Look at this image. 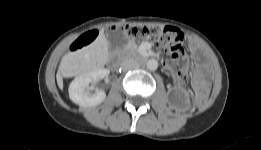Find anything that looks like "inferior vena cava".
<instances>
[{
    "mask_svg": "<svg viewBox=\"0 0 261 150\" xmlns=\"http://www.w3.org/2000/svg\"><path fill=\"white\" fill-rule=\"evenodd\" d=\"M139 67V64L134 60V59H125L122 63H121V68L123 71H129L131 69H135Z\"/></svg>",
    "mask_w": 261,
    "mask_h": 150,
    "instance_id": "obj_1",
    "label": "inferior vena cava"
}]
</instances>
